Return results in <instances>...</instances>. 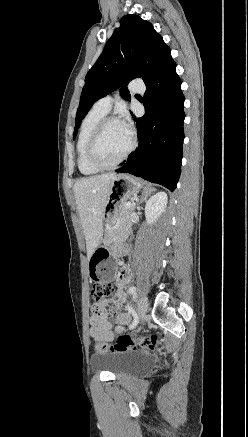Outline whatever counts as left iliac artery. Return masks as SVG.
Returning a JSON list of instances; mask_svg holds the SVG:
<instances>
[{"mask_svg": "<svg viewBox=\"0 0 248 437\" xmlns=\"http://www.w3.org/2000/svg\"><path fill=\"white\" fill-rule=\"evenodd\" d=\"M136 292V288L134 286H131L129 288V293L130 294H134ZM129 312L133 315L134 320L133 322L129 325V328H134L137 324H138V316L135 312V310L132 307H128Z\"/></svg>", "mask_w": 248, "mask_h": 437, "instance_id": "44dca946", "label": "left iliac artery"}]
</instances>
